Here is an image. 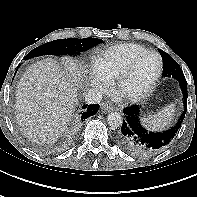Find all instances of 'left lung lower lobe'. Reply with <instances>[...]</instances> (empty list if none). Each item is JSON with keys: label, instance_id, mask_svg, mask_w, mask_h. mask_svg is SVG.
<instances>
[{"label": "left lung lower lobe", "instance_id": "left-lung-lower-lobe-1", "mask_svg": "<svg viewBox=\"0 0 197 197\" xmlns=\"http://www.w3.org/2000/svg\"><path fill=\"white\" fill-rule=\"evenodd\" d=\"M183 93L184 111L177 124L161 132H151L140 122V108L137 105L123 110L124 120L116 135L118 145L126 152L138 157H150L164 150L181 127L187 111V82H179Z\"/></svg>", "mask_w": 197, "mask_h": 197}]
</instances>
